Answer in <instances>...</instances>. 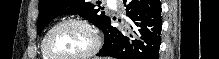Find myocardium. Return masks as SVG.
<instances>
[{
	"mask_svg": "<svg viewBox=\"0 0 219 59\" xmlns=\"http://www.w3.org/2000/svg\"><path fill=\"white\" fill-rule=\"evenodd\" d=\"M67 24L81 25L89 32V34L92 37V45L86 52L79 54V55H76V56L61 57V56L54 54L51 51V49L49 47V39H50L52 33L56 29H58L59 27H61L63 25H67ZM100 45H101L100 37H99L98 33L96 32V30L92 27V25L90 23H88L86 20H84L82 18H77V17L66 18V19H63V20L57 22L46 32V34L44 35V38L42 40L43 50L47 54V56L50 57L51 59H89L98 53V51L100 49Z\"/></svg>",
	"mask_w": 219,
	"mask_h": 59,
	"instance_id": "obj_1",
	"label": "myocardium"
}]
</instances>
